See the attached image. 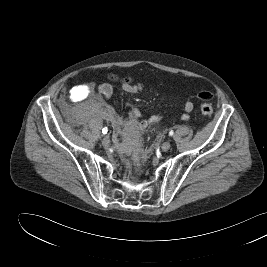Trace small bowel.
<instances>
[{"label":"small bowel","mask_w":267,"mask_h":267,"mask_svg":"<svg viewBox=\"0 0 267 267\" xmlns=\"http://www.w3.org/2000/svg\"><path fill=\"white\" fill-rule=\"evenodd\" d=\"M95 89L94 84H90L88 86V91L92 93ZM98 93L101 95L104 99H109L113 94V87L109 83H101L96 87ZM123 89L130 93H138L143 90L142 84H124ZM183 110L184 113L182 114V119L188 120L189 116L188 113L193 110V103L190 100H186L183 103ZM142 113L139 108L132 107L128 113V116L125 120L121 118L120 116L116 115L112 110H108L104 113V118L110 121L114 127L115 130H119L120 126L124 122L126 124L125 133L127 136L133 139L135 143V149L134 153L137 156H141L142 149L138 146L136 142V137L145 130L148 126L152 124L159 123L162 121L163 116L162 115H151L147 119L141 120Z\"/></svg>","instance_id":"obj_1"}]
</instances>
